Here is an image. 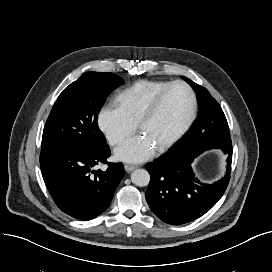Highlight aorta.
I'll return each instance as SVG.
<instances>
[{"instance_id": "obj_1", "label": "aorta", "mask_w": 272, "mask_h": 272, "mask_svg": "<svg viewBox=\"0 0 272 272\" xmlns=\"http://www.w3.org/2000/svg\"><path fill=\"white\" fill-rule=\"evenodd\" d=\"M131 181L139 187L147 186L150 182V175L145 169H137L131 174Z\"/></svg>"}]
</instances>
